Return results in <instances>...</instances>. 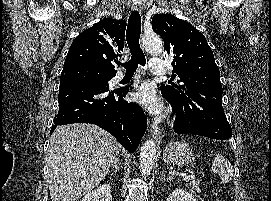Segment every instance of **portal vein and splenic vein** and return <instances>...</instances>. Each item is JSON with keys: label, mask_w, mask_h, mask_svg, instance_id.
<instances>
[{"label": "portal vein and splenic vein", "mask_w": 271, "mask_h": 201, "mask_svg": "<svg viewBox=\"0 0 271 201\" xmlns=\"http://www.w3.org/2000/svg\"><path fill=\"white\" fill-rule=\"evenodd\" d=\"M194 178H195V175H194V174H192V175H184V177H183V179L186 180V181L192 180V179H194Z\"/></svg>", "instance_id": "portal-vein-and-splenic-vein-1"}]
</instances>
